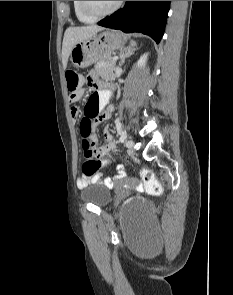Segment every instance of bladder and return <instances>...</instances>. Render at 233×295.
Masks as SVG:
<instances>
[{
	"label": "bladder",
	"mask_w": 233,
	"mask_h": 295,
	"mask_svg": "<svg viewBox=\"0 0 233 295\" xmlns=\"http://www.w3.org/2000/svg\"><path fill=\"white\" fill-rule=\"evenodd\" d=\"M80 197L84 202L100 208L106 207L111 201L110 191L105 186L99 184L89 185L84 188L81 191ZM151 209V204L148 201L137 197L129 199L124 204L125 213H142L149 221L152 219L150 215Z\"/></svg>",
	"instance_id": "bladder-1"
}]
</instances>
